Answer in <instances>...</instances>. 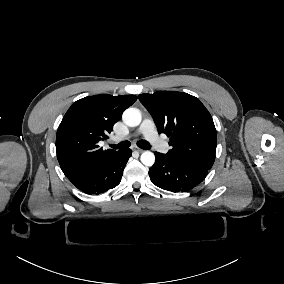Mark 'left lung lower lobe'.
Masks as SVG:
<instances>
[{
  "instance_id": "0a47b994",
  "label": "left lung lower lobe",
  "mask_w": 284,
  "mask_h": 284,
  "mask_svg": "<svg viewBox=\"0 0 284 284\" xmlns=\"http://www.w3.org/2000/svg\"><path fill=\"white\" fill-rule=\"evenodd\" d=\"M155 164L149 169L153 184L171 192H187L201 183L208 170L155 152Z\"/></svg>"
}]
</instances>
